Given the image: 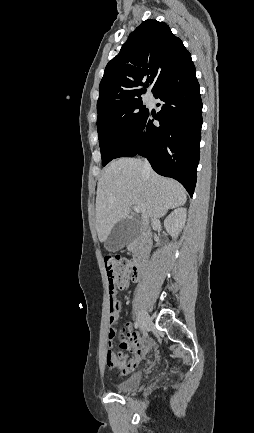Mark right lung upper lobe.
I'll return each mask as SVG.
<instances>
[{
	"instance_id": "1",
	"label": "right lung upper lobe",
	"mask_w": 254,
	"mask_h": 433,
	"mask_svg": "<svg viewBox=\"0 0 254 433\" xmlns=\"http://www.w3.org/2000/svg\"><path fill=\"white\" fill-rule=\"evenodd\" d=\"M190 53L164 22L148 19L128 37L106 66L99 85L97 111L141 99L151 85L154 94L188 59Z\"/></svg>"
}]
</instances>
